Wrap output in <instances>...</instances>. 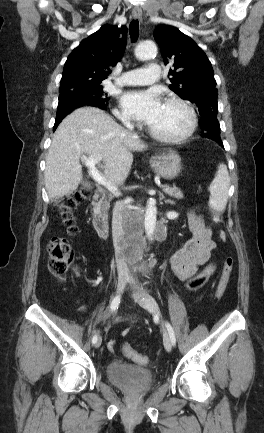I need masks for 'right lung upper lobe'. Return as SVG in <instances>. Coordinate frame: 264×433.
<instances>
[{"mask_svg": "<svg viewBox=\"0 0 264 433\" xmlns=\"http://www.w3.org/2000/svg\"><path fill=\"white\" fill-rule=\"evenodd\" d=\"M125 27L103 25L84 39L68 56L62 74L60 94L82 87L101 85L125 50ZM122 35V36H121Z\"/></svg>", "mask_w": 264, "mask_h": 433, "instance_id": "cb5924a9", "label": "right lung upper lobe"}]
</instances>
